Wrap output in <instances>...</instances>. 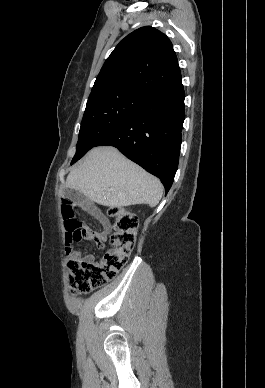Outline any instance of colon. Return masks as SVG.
Listing matches in <instances>:
<instances>
[{"instance_id": "colon-1", "label": "colon", "mask_w": 265, "mask_h": 388, "mask_svg": "<svg viewBox=\"0 0 265 388\" xmlns=\"http://www.w3.org/2000/svg\"><path fill=\"white\" fill-rule=\"evenodd\" d=\"M75 203L63 200L61 209L66 229L65 251L70 256L67 263L70 286L75 293H87L101 288L126 264L136 242L137 221L133 214L122 208H110L108 213L114 219L111 248L98 262H87L71 257L72 245L88 239L89 233L75 216Z\"/></svg>"}]
</instances>
